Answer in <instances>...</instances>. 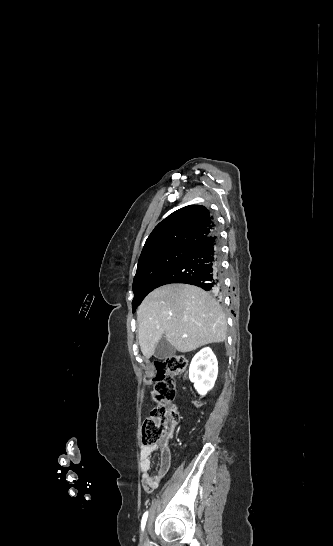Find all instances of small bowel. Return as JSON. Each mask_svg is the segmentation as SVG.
<instances>
[{
  "label": "small bowel",
  "mask_w": 333,
  "mask_h": 546,
  "mask_svg": "<svg viewBox=\"0 0 333 546\" xmlns=\"http://www.w3.org/2000/svg\"><path fill=\"white\" fill-rule=\"evenodd\" d=\"M160 453L158 471L152 473V457ZM171 466V453L163 445H142L140 449V469L142 471V487L146 493H151L165 478Z\"/></svg>",
  "instance_id": "1"
}]
</instances>
